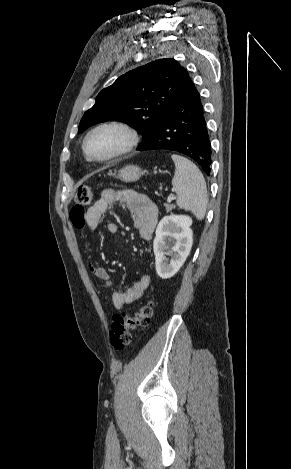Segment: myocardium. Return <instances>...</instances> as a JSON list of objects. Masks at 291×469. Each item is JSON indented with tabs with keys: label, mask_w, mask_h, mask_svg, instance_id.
Here are the masks:
<instances>
[{
	"label": "myocardium",
	"mask_w": 291,
	"mask_h": 469,
	"mask_svg": "<svg viewBox=\"0 0 291 469\" xmlns=\"http://www.w3.org/2000/svg\"><path fill=\"white\" fill-rule=\"evenodd\" d=\"M105 128H113V129H117L121 131L124 134L125 141L123 145L114 153L106 157H94L88 151V141L95 132L105 129ZM138 142H139V136L137 132L129 124L123 121L111 120V121L102 122L96 125L95 127H93L86 134L83 140L82 149H83L85 157L88 160L93 161V162H98V163H105V162L115 160L131 152L137 146Z\"/></svg>",
	"instance_id": "1"
}]
</instances>
